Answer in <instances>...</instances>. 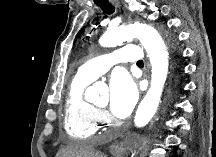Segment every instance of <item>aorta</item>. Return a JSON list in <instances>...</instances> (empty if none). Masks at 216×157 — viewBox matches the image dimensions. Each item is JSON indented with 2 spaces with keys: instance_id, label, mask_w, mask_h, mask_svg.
Segmentation results:
<instances>
[{
  "instance_id": "obj_1",
  "label": "aorta",
  "mask_w": 216,
  "mask_h": 157,
  "mask_svg": "<svg viewBox=\"0 0 216 157\" xmlns=\"http://www.w3.org/2000/svg\"><path fill=\"white\" fill-rule=\"evenodd\" d=\"M139 39L145 48L152 66L150 88L137 108L134 123L138 128L146 126L155 115L169 69V52L161 35L152 26L144 23L122 25L108 30L99 40L103 47H115L132 39ZM98 94V85L89 88L87 98Z\"/></svg>"
}]
</instances>
